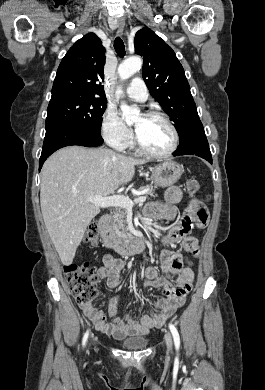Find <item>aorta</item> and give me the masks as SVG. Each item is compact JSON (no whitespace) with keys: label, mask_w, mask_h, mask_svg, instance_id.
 Returning <instances> with one entry per match:
<instances>
[{"label":"aorta","mask_w":265,"mask_h":390,"mask_svg":"<svg viewBox=\"0 0 265 390\" xmlns=\"http://www.w3.org/2000/svg\"><path fill=\"white\" fill-rule=\"evenodd\" d=\"M142 66V60L140 57H130L124 60L118 66V74L121 80H126L134 75L137 71L140 70ZM117 93L121 94L122 90L118 89ZM122 117L125 119L126 123L131 124L135 122L140 115V110L128 106L126 103H121Z\"/></svg>","instance_id":"obj_1"}]
</instances>
